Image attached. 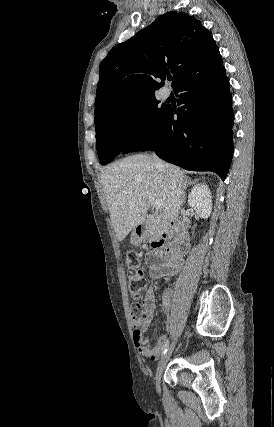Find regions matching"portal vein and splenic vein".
Returning <instances> with one entry per match:
<instances>
[{"instance_id":"obj_1","label":"portal vein and splenic vein","mask_w":274,"mask_h":427,"mask_svg":"<svg viewBox=\"0 0 274 427\" xmlns=\"http://www.w3.org/2000/svg\"><path fill=\"white\" fill-rule=\"evenodd\" d=\"M148 200L151 206L155 208V210H162L163 208L162 200H154V198H148Z\"/></svg>"}]
</instances>
